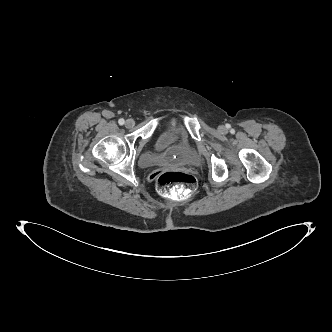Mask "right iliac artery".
<instances>
[{
	"mask_svg": "<svg viewBox=\"0 0 332 332\" xmlns=\"http://www.w3.org/2000/svg\"><path fill=\"white\" fill-rule=\"evenodd\" d=\"M118 123H119L120 125H123V124L125 123V121H124V119H119Z\"/></svg>",
	"mask_w": 332,
	"mask_h": 332,
	"instance_id": "82829eb1",
	"label": "right iliac artery"
}]
</instances>
